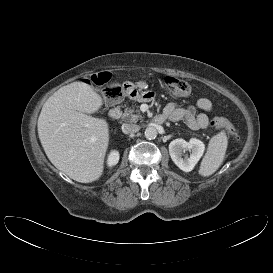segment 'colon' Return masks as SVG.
<instances>
[{"label": "colon", "instance_id": "1", "mask_svg": "<svg viewBox=\"0 0 273 273\" xmlns=\"http://www.w3.org/2000/svg\"><path fill=\"white\" fill-rule=\"evenodd\" d=\"M110 79L111 74L108 72L96 73L91 77V81L100 86L107 85ZM164 84L172 94L177 96H185L190 91L188 82L174 77H165ZM120 91V88L117 86L107 85L106 96L111 100L118 99L121 96ZM212 124L219 129L225 130L233 138H238L239 136L238 130L224 117H215Z\"/></svg>", "mask_w": 273, "mask_h": 273}]
</instances>
